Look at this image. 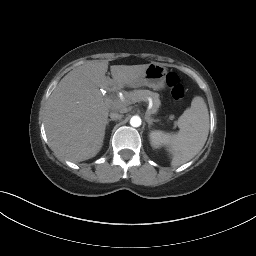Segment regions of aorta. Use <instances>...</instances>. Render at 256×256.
Here are the masks:
<instances>
[{
	"label": "aorta",
	"instance_id": "1",
	"mask_svg": "<svg viewBox=\"0 0 256 256\" xmlns=\"http://www.w3.org/2000/svg\"><path fill=\"white\" fill-rule=\"evenodd\" d=\"M141 118L139 116H133L131 119H130V125L133 126V127H139L141 126Z\"/></svg>",
	"mask_w": 256,
	"mask_h": 256
}]
</instances>
